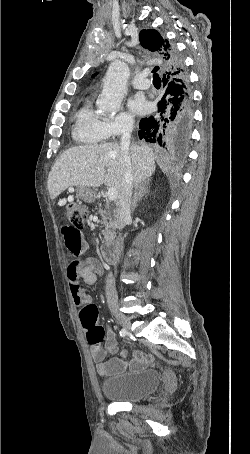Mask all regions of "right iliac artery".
I'll return each mask as SVG.
<instances>
[{
    "label": "right iliac artery",
    "mask_w": 250,
    "mask_h": 454,
    "mask_svg": "<svg viewBox=\"0 0 250 454\" xmlns=\"http://www.w3.org/2000/svg\"><path fill=\"white\" fill-rule=\"evenodd\" d=\"M127 334H128V332H127L125 329H122V330L120 331V336H121V337H125Z\"/></svg>",
    "instance_id": "obj_1"
}]
</instances>
